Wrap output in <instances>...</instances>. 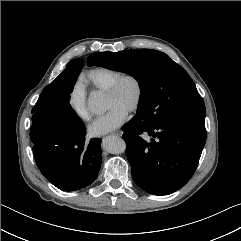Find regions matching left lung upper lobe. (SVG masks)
<instances>
[{
    "mask_svg": "<svg viewBox=\"0 0 241 241\" xmlns=\"http://www.w3.org/2000/svg\"><path fill=\"white\" fill-rule=\"evenodd\" d=\"M87 64L134 76L141 88L135 116L148 124L174 114L206 115L204 101L191 77L163 52L151 49L96 52L88 57Z\"/></svg>",
    "mask_w": 241,
    "mask_h": 241,
    "instance_id": "left-lung-upper-lobe-1",
    "label": "left lung upper lobe"
}]
</instances>
